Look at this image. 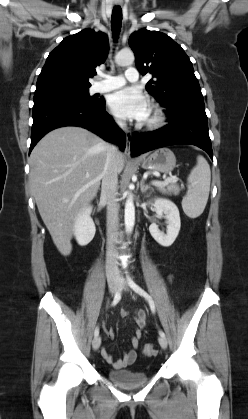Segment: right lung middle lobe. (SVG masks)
Wrapping results in <instances>:
<instances>
[{
  "label": "right lung middle lobe",
  "mask_w": 248,
  "mask_h": 419,
  "mask_svg": "<svg viewBox=\"0 0 248 419\" xmlns=\"http://www.w3.org/2000/svg\"><path fill=\"white\" fill-rule=\"evenodd\" d=\"M46 98H68L80 100L82 102L90 104H97L100 102V99L93 98L88 94V89H63L44 93H37L34 95V101Z\"/></svg>",
  "instance_id": "right-lung-middle-lobe-1"
}]
</instances>
